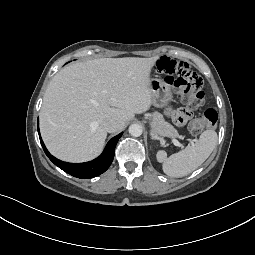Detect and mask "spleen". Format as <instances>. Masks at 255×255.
<instances>
[{
	"label": "spleen",
	"instance_id": "1",
	"mask_svg": "<svg viewBox=\"0 0 255 255\" xmlns=\"http://www.w3.org/2000/svg\"><path fill=\"white\" fill-rule=\"evenodd\" d=\"M217 133L205 130L195 144L167 157L160 150L156 154L157 161L162 163L163 172L170 177H183L196 170L210 156L217 144Z\"/></svg>",
	"mask_w": 255,
	"mask_h": 255
}]
</instances>
